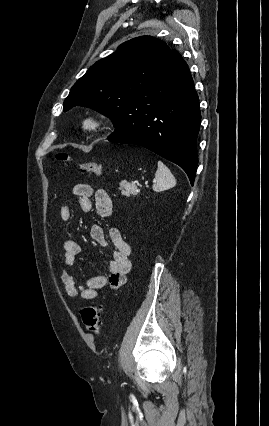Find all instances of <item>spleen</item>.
<instances>
[{
	"mask_svg": "<svg viewBox=\"0 0 269 426\" xmlns=\"http://www.w3.org/2000/svg\"><path fill=\"white\" fill-rule=\"evenodd\" d=\"M176 180L171 171L161 161H158V168L155 173V183L153 184V190L155 192H161L174 187Z\"/></svg>",
	"mask_w": 269,
	"mask_h": 426,
	"instance_id": "obj_1",
	"label": "spleen"
}]
</instances>
